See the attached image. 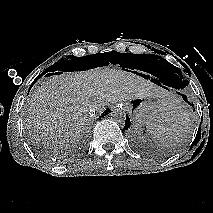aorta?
Masks as SVG:
<instances>
[{
  "label": "aorta",
  "mask_w": 213,
  "mask_h": 213,
  "mask_svg": "<svg viewBox=\"0 0 213 213\" xmlns=\"http://www.w3.org/2000/svg\"><path fill=\"white\" fill-rule=\"evenodd\" d=\"M111 119L118 124H124L126 120V113L122 109H115L110 114Z\"/></svg>",
  "instance_id": "aorta-1"
}]
</instances>
